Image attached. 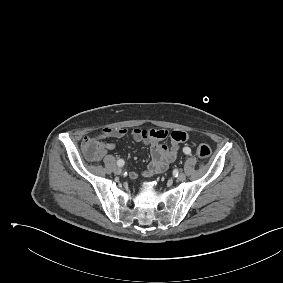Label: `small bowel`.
I'll use <instances>...</instances> for the list:
<instances>
[{"label": "small bowel", "mask_w": 283, "mask_h": 283, "mask_svg": "<svg viewBox=\"0 0 283 283\" xmlns=\"http://www.w3.org/2000/svg\"><path fill=\"white\" fill-rule=\"evenodd\" d=\"M98 136L100 139L106 137L122 138L130 136L134 141L143 142L150 147V163L147 165L146 169L141 172H131L130 178H136L139 175L149 178L165 171L169 164L176 159L180 144L189 139L188 134L183 131L168 132L166 130L141 128L130 131L122 128H106L102 130ZM167 138L170 139L169 145L164 143V140ZM115 147V143L113 142L103 144L102 154L106 151L114 150Z\"/></svg>", "instance_id": "small-bowel-1"}]
</instances>
